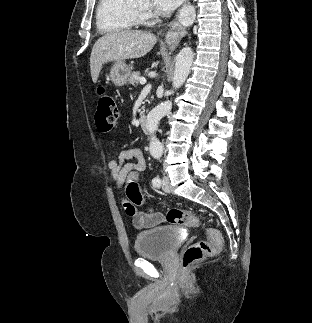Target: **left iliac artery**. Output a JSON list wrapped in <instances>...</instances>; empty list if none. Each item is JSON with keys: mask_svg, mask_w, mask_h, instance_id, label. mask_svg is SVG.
<instances>
[{"mask_svg": "<svg viewBox=\"0 0 312 323\" xmlns=\"http://www.w3.org/2000/svg\"><path fill=\"white\" fill-rule=\"evenodd\" d=\"M152 184H153L154 187H160L161 186L160 178L158 176L154 177L153 180H152Z\"/></svg>", "mask_w": 312, "mask_h": 323, "instance_id": "44dca946", "label": "left iliac artery"}]
</instances>
